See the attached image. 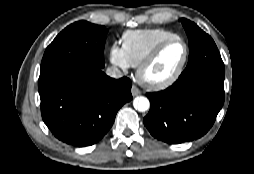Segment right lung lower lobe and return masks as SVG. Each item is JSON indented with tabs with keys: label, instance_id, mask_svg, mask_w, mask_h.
Here are the masks:
<instances>
[{
	"label": "right lung lower lobe",
	"instance_id": "obj_1",
	"mask_svg": "<svg viewBox=\"0 0 254 174\" xmlns=\"http://www.w3.org/2000/svg\"><path fill=\"white\" fill-rule=\"evenodd\" d=\"M39 86L46 126L64 143L90 146L101 140L123 104L132 99L131 80L113 79L101 69H73Z\"/></svg>",
	"mask_w": 254,
	"mask_h": 174
}]
</instances>
